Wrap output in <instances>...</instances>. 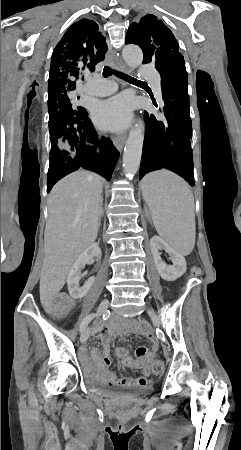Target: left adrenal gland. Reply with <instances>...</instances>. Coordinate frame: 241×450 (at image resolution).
<instances>
[{
	"label": "left adrenal gland",
	"instance_id": "a2214340",
	"mask_svg": "<svg viewBox=\"0 0 241 450\" xmlns=\"http://www.w3.org/2000/svg\"><path fill=\"white\" fill-rule=\"evenodd\" d=\"M150 224H152L151 220H149Z\"/></svg>",
	"mask_w": 241,
	"mask_h": 450
}]
</instances>
